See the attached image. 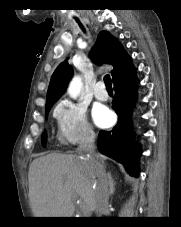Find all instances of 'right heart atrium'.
Returning a JSON list of instances; mask_svg holds the SVG:
<instances>
[{"label":"right heart atrium","mask_w":181,"mask_h":227,"mask_svg":"<svg viewBox=\"0 0 181 227\" xmlns=\"http://www.w3.org/2000/svg\"><path fill=\"white\" fill-rule=\"evenodd\" d=\"M54 115L62 143L76 145L94 139L93 128L87 119L86 110L81 105L68 99L61 100L55 107Z\"/></svg>","instance_id":"right-heart-atrium-1"}]
</instances>
